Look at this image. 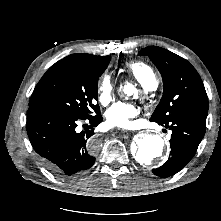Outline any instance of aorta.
Masks as SVG:
<instances>
[{
	"instance_id": "obj_1",
	"label": "aorta",
	"mask_w": 221,
	"mask_h": 221,
	"mask_svg": "<svg viewBox=\"0 0 221 221\" xmlns=\"http://www.w3.org/2000/svg\"><path fill=\"white\" fill-rule=\"evenodd\" d=\"M134 86L127 84L124 87L126 94L133 93ZM165 149V142L163 138L156 134H140L135 138V149L133 150V157L141 166H149L154 160L163 155Z\"/></svg>"
}]
</instances>
